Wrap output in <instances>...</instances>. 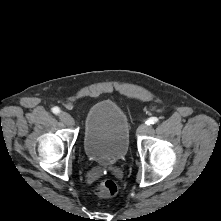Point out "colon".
<instances>
[{
    "label": "colon",
    "instance_id": "obj_1",
    "mask_svg": "<svg viewBox=\"0 0 221 221\" xmlns=\"http://www.w3.org/2000/svg\"><path fill=\"white\" fill-rule=\"evenodd\" d=\"M118 192V185L113 180H103L95 188L94 193L99 197H112Z\"/></svg>",
    "mask_w": 221,
    "mask_h": 221
}]
</instances>
